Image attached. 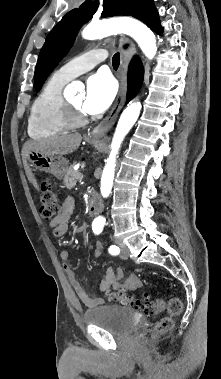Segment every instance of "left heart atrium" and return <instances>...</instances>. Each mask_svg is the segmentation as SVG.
I'll list each match as a JSON object with an SVG mask.
<instances>
[{"mask_svg":"<svg viewBox=\"0 0 221 379\" xmlns=\"http://www.w3.org/2000/svg\"><path fill=\"white\" fill-rule=\"evenodd\" d=\"M116 91V83L107 73L98 72L90 76L86 83L83 110L89 114L105 111L113 102Z\"/></svg>","mask_w":221,"mask_h":379,"instance_id":"obj_1","label":"left heart atrium"}]
</instances>
